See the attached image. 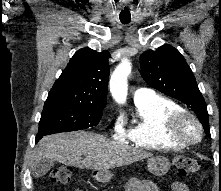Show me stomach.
<instances>
[{
	"mask_svg": "<svg viewBox=\"0 0 221 191\" xmlns=\"http://www.w3.org/2000/svg\"><path fill=\"white\" fill-rule=\"evenodd\" d=\"M147 167L152 174L163 176L170 169V162L165 157H151L147 161ZM93 176L98 182L107 183L112 179L113 174L109 170H95Z\"/></svg>",
	"mask_w": 221,
	"mask_h": 191,
	"instance_id": "1",
	"label": "stomach"
}]
</instances>
